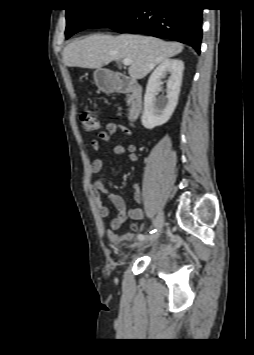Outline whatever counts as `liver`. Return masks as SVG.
I'll use <instances>...</instances> for the list:
<instances>
[{"instance_id":"1","label":"liver","mask_w":254,"mask_h":355,"mask_svg":"<svg viewBox=\"0 0 254 355\" xmlns=\"http://www.w3.org/2000/svg\"><path fill=\"white\" fill-rule=\"evenodd\" d=\"M183 45L155 37L94 34L68 44L62 53L65 66L101 69L114 60L131 59L128 73L142 79L158 64L179 54Z\"/></svg>"}]
</instances>
